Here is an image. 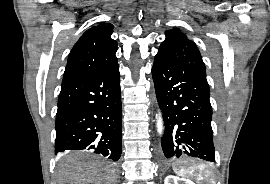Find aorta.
Returning <instances> with one entry per match:
<instances>
[{"instance_id": "obj_1", "label": "aorta", "mask_w": 270, "mask_h": 184, "mask_svg": "<svg viewBox=\"0 0 270 184\" xmlns=\"http://www.w3.org/2000/svg\"><path fill=\"white\" fill-rule=\"evenodd\" d=\"M157 130L160 134H162L163 132V122L162 119L160 117V115L158 116V120H157Z\"/></svg>"}]
</instances>
